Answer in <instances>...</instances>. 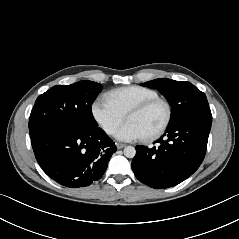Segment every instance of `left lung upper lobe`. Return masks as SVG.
<instances>
[{
    "mask_svg": "<svg viewBox=\"0 0 239 239\" xmlns=\"http://www.w3.org/2000/svg\"><path fill=\"white\" fill-rule=\"evenodd\" d=\"M141 85L157 89L168 100L172 107L169 124L192 116H211L205 94L190 82L161 78Z\"/></svg>",
    "mask_w": 239,
    "mask_h": 239,
    "instance_id": "5c2ea615",
    "label": "left lung upper lobe"
}]
</instances>
